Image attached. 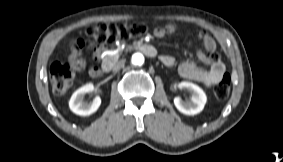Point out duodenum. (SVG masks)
I'll list each match as a JSON object with an SVG mask.
<instances>
[{
    "label": "duodenum",
    "instance_id": "duodenum-1",
    "mask_svg": "<svg viewBox=\"0 0 283 162\" xmlns=\"http://www.w3.org/2000/svg\"><path fill=\"white\" fill-rule=\"evenodd\" d=\"M132 47L142 51L144 54H146L149 57H155L157 55L156 49L148 43H138V44L133 45ZM113 67H114V64L110 60L105 61L101 65L103 72H109L113 69Z\"/></svg>",
    "mask_w": 283,
    "mask_h": 162
}]
</instances>
